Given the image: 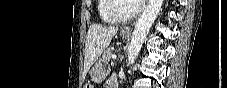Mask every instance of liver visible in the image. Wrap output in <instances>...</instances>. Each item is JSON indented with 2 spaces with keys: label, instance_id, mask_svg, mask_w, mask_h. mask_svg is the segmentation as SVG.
I'll list each match as a JSON object with an SVG mask.
<instances>
[{
  "label": "liver",
  "instance_id": "1",
  "mask_svg": "<svg viewBox=\"0 0 227 88\" xmlns=\"http://www.w3.org/2000/svg\"><path fill=\"white\" fill-rule=\"evenodd\" d=\"M118 27L92 24L86 36L84 67L88 71L117 34Z\"/></svg>",
  "mask_w": 227,
  "mask_h": 88
}]
</instances>
